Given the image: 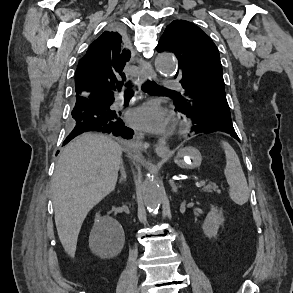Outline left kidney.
Listing matches in <instances>:
<instances>
[{
    "instance_id": "5707ae66",
    "label": "left kidney",
    "mask_w": 293,
    "mask_h": 293,
    "mask_svg": "<svg viewBox=\"0 0 293 293\" xmlns=\"http://www.w3.org/2000/svg\"><path fill=\"white\" fill-rule=\"evenodd\" d=\"M223 222L224 217L222 211L218 210L216 206L212 205L202 225L204 234L208 238L216 237L219 227L223 224Z\"/></svg>"
}]
</instances>
